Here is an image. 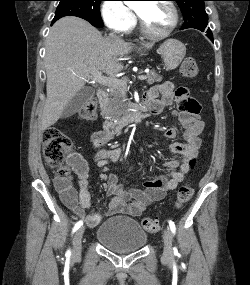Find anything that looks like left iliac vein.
<instances>
[{
    "mask_svg": "<svg viewBox=\"0 0 250 285\" xmlns=\"http://www.w3.org/2000/svg\"><path fill=\"white\" fill-rule=\"evenodd\" d=\"M163 240H164V250L163 257L164 259H171L172 257V233L169 228H165L163 231Z\"/></svg>",
    "mask_w": 250,
    "mask_h": 285,
    "instance_id": "4c4485c4",
    "label": "left iliac vein"
}]
</instances>
